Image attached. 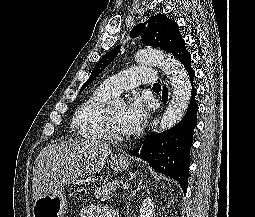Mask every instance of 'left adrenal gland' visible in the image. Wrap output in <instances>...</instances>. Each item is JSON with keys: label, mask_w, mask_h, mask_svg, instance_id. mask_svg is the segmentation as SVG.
Instances as JSON below:
<instances>
[{"label": "left adrenal gland", "mask_w": 255, "mask_h": 217, "mask_svg": "<svg viewBox=\"0 0 255 217\" xmlns=\"http://www.w3.org/2000/svg\"><path fill=\"white\" fill-rule=\"evenodd\" d=\"M143 188L142 186V182L140 181L136 187L135 190L132 191V193L130 194L129 196V201H128V204H127V214H129V205H130V201H131V198H133V196H135V194L141 190Z\"/></svg>", "instance_id": "left-adrenal-gland-1"}]
</instances>
